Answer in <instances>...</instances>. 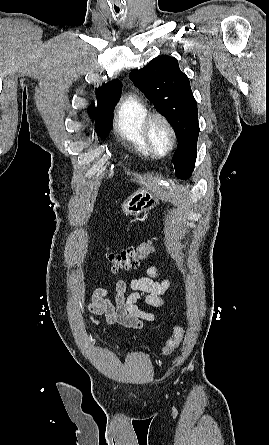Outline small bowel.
I'll return each instance as SVG.
<instances>
[{"instance_id": "small-bowel-1", "label": "small bowel", "mask_w": 269, "mask_h": 445, "mask_svg": "<svg viewBox=\"0 0 269 445\" xmlns=\"http://www.w3.org/2000/svg\"><path fill=\"white\" fill-rule=\"evenodd\" d=\"M162 273V266L153 265L144 270V275L134 278L128 284L117 280L115 284V303L109 298L107 288H97L93 291L92 301L86 305L89 317L99 323L103 316L108 324H116L123 328L140 329L145 323L152 322L156 316L138 306L139 301L160 308L165 305L164 294L170 288L171 280L164 278L156 280ZM95 282L92 283V286ZM130 288V292H128Z\"/></svg>"}]
</instances>
